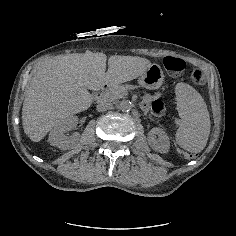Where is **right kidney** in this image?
<instances>
[{
  "mask_svg": "<svg viewBox=\"0 0 236 236\" xmlns=\"http://www.w3.org/2000/svg\"><path fill=\"white\" fill-rule=\"evenodd\" d=\"M77 122L78 119L76 117H71L67 119L62 126L53 129L48 138L50 145L56 146L61 150L77 148V146L80 145V134L75 132L70 137L64 134L68 128L74 127Z\"/></svg>",
  "mask_w": 236,
  "mask_h": 236,
  "instance_id": "obj_1",
  "label": "right kidney"
}]
</instances>
